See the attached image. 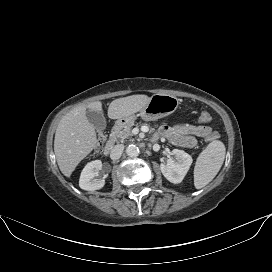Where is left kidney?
<instances>
[{"label": "left kidney", "mask_w": 272, "mask_h": 272, "mask_svg": "<svg viewBox=\"0 0 272 272\" xmlns=\"http://www.w3.org/2000/svg\"><path fill=\"white\" fill-rule=\"evenodd\" d=\"M171 155L175 159L169 158L167 163H161L160 169L163 176L171 183H181L187 174L193 159L192 157L184 152L183 150L173 149Z\"/></svg>", "instance_id": "obj_1"}]
</instances>
